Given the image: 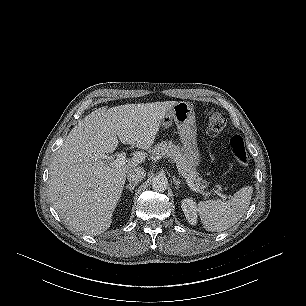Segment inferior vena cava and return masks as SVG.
I'll return each mask as SVG.
<instances>
[{
  "mask_svg": "<svg viewBox=\"0 0 306 306\" xmlns=\"http://www.w3.org/2000/svg\"><path fill=\"white\" fill-rule=\"evenodd\" d=\"M146 172L141 167L130 169L127 173V179L130 183H138L144 179Z\"/></svg>",
  "mask_w": 306,
  "mask_h": 306,
  "instance_id": "inferior-vena-cava-1",
  "label": "inferior vena cava"
}]
</instances>
